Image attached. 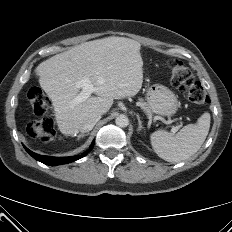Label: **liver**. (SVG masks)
I'll return each mask as SVG.
<instances>
[{"instance_id":"1","label":"liver","mask_w":232,"mask_h":232,"mask_svg":"<svg viewBox=\"0 0 232 232\" xmlns=\"http://www.w3.org/2000/svg\"><path fill=\"white\" fill-rule=\"evenodd\" d=\"M140 43L125 37H108L82 43L40 63L35 75L52 102L60 132L76 135L92 114H105L114 99L135 96L143 83ZM89 79L96 96L72 106L80 88L76 81Z\"/></svg>"}]
</instances>
